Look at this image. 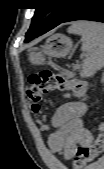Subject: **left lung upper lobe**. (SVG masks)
Listing matches in <instances>:
<instances>
[{"label":"left lung upper lobe","instance_id":"1","mask_svg":"<svg viewBox=\"0 0 104 169\" xmlns=\"http://www.w3.org/2000/svg\"><path fill=\"white\" fill-rule=\"evenodd\" d=\"M64 5L59 8L36 9L31 27L26 34V39L37 34L39 31H49L59 25L66 17H68L77 6L78 0H59ZM53 9V12L42 23L41 17L45 11ZM41 23V24H40ZM40 24V25H39Z\"/></svg>","mask_w":104,"mask_h":169}]
</instances>
